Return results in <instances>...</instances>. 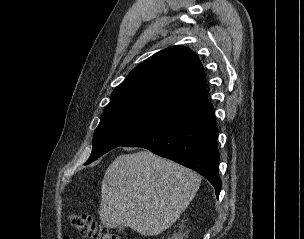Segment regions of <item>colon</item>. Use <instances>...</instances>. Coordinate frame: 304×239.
Instances as JSON below:
<instances>
[{"label":"colon","mask_w":304,"mask_h":239,"mask_svg":"<svg viewBox=\"0 0 304 239\" xmlns=\"http://www.w3.org/2000/svg\"><path fill=\"white\" fill-rule=\"evenodd\" d=\"M70 222L81 236L88 239H120L87 213H73L70 216Z\"/></svg>","instance_id":"5ec220e1"}]
</instances>
